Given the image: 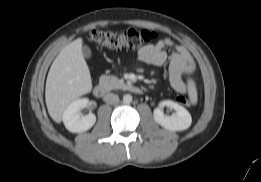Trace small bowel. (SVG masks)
<instances>
[{"label": "small bowel", "instance_id": "1", "mask_svg": "<svg viewBox=\"0 0 261 182\" xmlns=\"http://www.w3.org/2000/svg\"><path fill=\"white\" fill-rule=\"evenodd\" d=\"M137 57L148 65L168 64L169 80L173 89L182 94L189 92L188 80L193 78L195 64L183 46L170 38H163L141 48Z\"/></svg>", "mask_w": 261, "mask_h": 182}]
</instances>
